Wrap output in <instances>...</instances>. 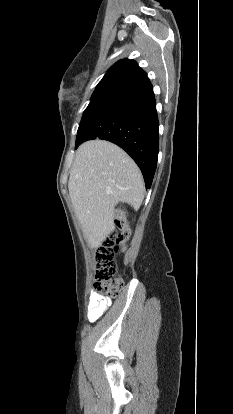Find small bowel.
Wrapping results in <instances>:
<instances>
[{
    "mask_svg": "<svg viewBox=\"0 0 233 414\" xmlns=\"http://www.w3.org/2000/svg\"><path fill=\"white\" fill-rule=\"evenodd\" d=\"M92 292V289H89ZM111 300L96 292L91 293L88 302L87 317L90 322L98 320L110 307Z\"/></svg>",
    "mask_w": 233,
    "mask_h": 414,
    "instance_id": "obj_1",
    "label": "small bowel"
}]
</instances>
